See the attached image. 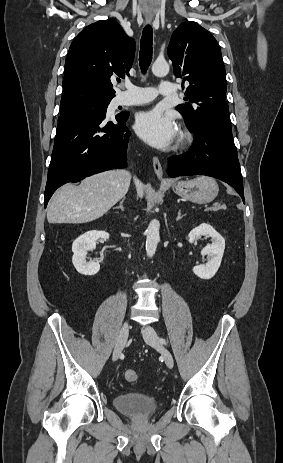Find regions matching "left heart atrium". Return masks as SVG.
<instances>
[{
  "mask_svg": "<svg viewBox=\"0 0 283 463\" xmlns=\"http://www.w3.org/2000/svg\"><path fill=\"white\" fill-rule=\"evenodd\" d=\"M135 130L145 142L157 148L169 146L177 137L173 119L157 109L138 114Z\"/></svg>",
  "mask_w": 283,
  "mask_h": 463,
  "instance_id": "1",
  "label": "left heart atrium"
}]
</instances>
